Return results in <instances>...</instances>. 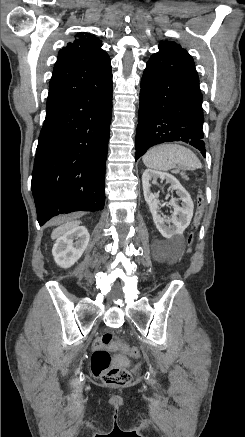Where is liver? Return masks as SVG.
I'll list each match as a JSON object with an SVG mask.
<instances>
[{
  "mask_svg": "<svg viewBox=\"0 0 245 437\" xmlns=\"http://www.w3.org/2000/svg\"><path fill=\"white\" fill-rule=\"evenodd\" d=\"M79 224H80L79 221L67 222V223L59 226L58 228L54 229L52 234H51V238L52 239L59 238L61 235L65 234L69 230L77 227Z\"/></svg>",
  "mask_w": 245,
  "mask_h": 437,
  "instance_id": "liver-1",
  "label": "liver"
}]
</instances>
